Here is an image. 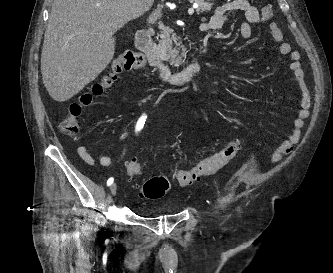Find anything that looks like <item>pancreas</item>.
<instances>
[{"label": "pancreas", "instance_id": "1", "mask_svg": "<svg viewBox=\"0 0 333 273\" xmlns=\"http://www.w3.org/2000/svg\"><path fill=\"white\" fill-rule=\"evenodd\" d=\"M198 4L197 12H206L210 11L212 4L205 2L204 0H190ZM175 43L176 47H173ZM181 43L179 42V37L172 33L171 29L164 28L160 34V40L157 45V50L161 58L165 61H169L172 66H180L183 63V59L186 57L185 52L183 51L179 54V48Z\"/></svg>", "mask_w": 333, "mask_h": 273}]
</instances>
